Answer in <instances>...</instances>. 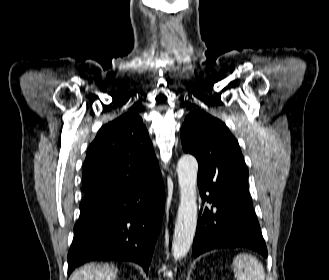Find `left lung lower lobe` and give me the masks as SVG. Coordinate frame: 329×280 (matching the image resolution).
I'll return each instance as SVG.
<instances>
[{"instance_id":"obj_1","label":"left lung lower lobe","mask_w":329,"mask_h":280,"mask_svg":"<svg viewBox=\"0 0 329 280\" xmlns=\"http://www.w3.org/2000/svg\"><path fill=\"white\" fill-rule=\"evenodd\" d=\"M199 190L203 201L207 200L213 206L200 210L193 242L194 257L214 249L243 247L266 258L267 248L253 211L248 185L209 196L205 190Z\"/></svg>"}]
</instances>
